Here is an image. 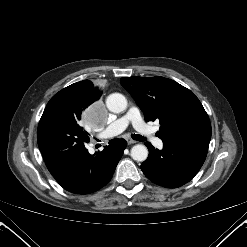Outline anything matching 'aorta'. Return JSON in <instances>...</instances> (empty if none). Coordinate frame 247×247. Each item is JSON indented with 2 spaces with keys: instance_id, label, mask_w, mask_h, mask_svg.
<instances>
[{
  "instance_id": "aorta-1",
  "label": "aorta",
  "mask_w": 247,
  "mask_h": 247,
  "mask_svg": "<svg viewBox=\"0 0 247 247\" xmlns=\"http://www.w3.org/2000/svg\"><path fill=\"white\" fill-rule=\"evenodd\" d=\"M106 106L113 113H121L127 108V99L120 93L110 94L106 99ZM133 160L143 162L148 157V149L145 145L137 144L131 149Z\"/></svg>"
}]
</instances>
